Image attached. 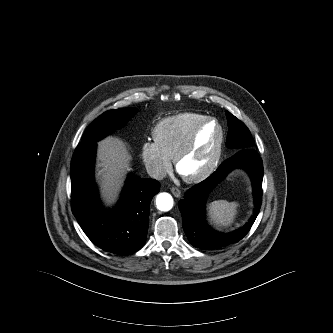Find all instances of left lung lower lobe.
<instances>
[{"label":"left lung lower lobe","mask_w":333,"mask_h":333,"mask_svg":"<svg viewBox=\"0 0 333 333\" xmlns=\"http://www.w3.org/2000/svg\"><path fill=\"white\" fill-rule=\"evenodd\" d=\"M235 168L245 169L253 184L255 210L247 224L231 233H220L210 228L204 220L205 202L209 192ZM263 163L252 148L240 149L225 160L218 169L201 183L191 187L178 203L183 228L190 243L202 249H219L240 241L253 225L262 203Z\"/></svg>","instance_id":"obj_1"}]
</instances>
